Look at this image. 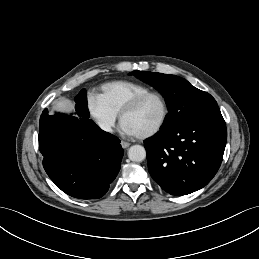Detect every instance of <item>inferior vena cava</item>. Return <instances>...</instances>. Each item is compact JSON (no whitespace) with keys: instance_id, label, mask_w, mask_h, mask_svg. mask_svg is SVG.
<instances>
[{"instance_id":"602c4592","label":"inferior vena cava","mask_w":259,"mask_h":259,"mask_svg":"<svg viewBox=\"0 0 259 259\" xmlns=\"http://www.w3.org/2000/svg\"><path fill=\"white\" fill-rule=\"evenodd\" d=\"M99 127L104 130V131H107V132H112V128H111V125L108 123V122H105V121H100L98 123Z\"/></svg>"}]
</instances>
